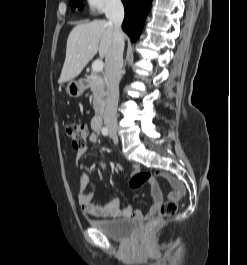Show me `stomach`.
I'll return each mask as SVG.
<instances>
[{
    "label": "stomach",
    "mask_w": 247,
    "mask_h": 265,
    "mask_svg": "<svg viewBox=\"0 0 247 265\" xmlns=\"http://www.w3.org/2000/svg\"><path fill=\"white\" fill-rule=\"evenodd\" d=\"M85 88V84L82 80H71L67 85L66 91L70 97L77 98L83 94Z\"/></svg>",
    "instance_id": "obj_1"
}]
</instances>
